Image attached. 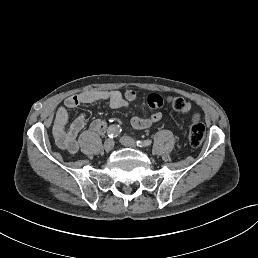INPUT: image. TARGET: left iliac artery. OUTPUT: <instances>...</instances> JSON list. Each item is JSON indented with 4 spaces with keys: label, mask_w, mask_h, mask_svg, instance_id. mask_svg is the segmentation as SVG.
Listing matches in <instances>:
<instances>
[{
    "label": "left iliac artery",
    "mask_w": 258,
    "mask_h": 258,
    "mask_svg": "<svg viewBox=\"0 0 258 258\" xmlns=\"http://www.w3.org/2000/svg\"><path fill=\"white\" fill-rule=\"evenodd\" d=\"M136 144L138 147L145 148L152 144V140H150V139L144 140V141L137 140Z\"/></svg>",
    "instance_id": "1"
}]
</instances>
